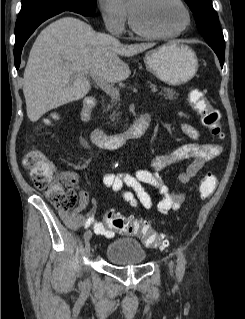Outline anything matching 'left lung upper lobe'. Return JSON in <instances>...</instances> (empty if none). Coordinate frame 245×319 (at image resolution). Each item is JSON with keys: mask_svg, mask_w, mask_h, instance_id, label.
<instances>
[{"mask_svg": "<svg viewBox=\"0 0 245 319\" xmlns=\"http://www.w3.org/2000/svg\"><path fill=\"white\" fill-rule=\"evenodd\" d=\"M196 20L199 32L211 46L225 51V41L219 25V17L212 0H185Z\"/></svg>", "mask_w": 245, "mask_h": 319, "instance_id": "obj_1", "label": "left lung upper lobe"}]
</instances>
